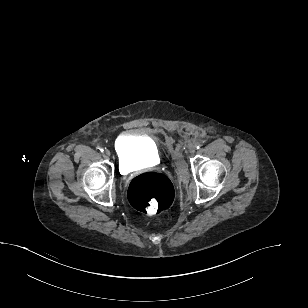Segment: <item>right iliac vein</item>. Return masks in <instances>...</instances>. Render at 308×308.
Masks as SVG:
<instances>
[{
	"mask_svg": "<svg viewBox=\"0 0 308 308\" xmlns=\"http://www.w3.org/2000/svg\"><path fill=\"white\" fill-rule=\"evenodd\" d=\"M104 154L107 155V156H110L111 153H110L109 150H105V151H104Z\"/></svg>",
	"mask_w": 308,
	"mask_h": 308,
	"instance_id": "63e3f726",
	"label": "right iliac vein"
}]
</instances>
